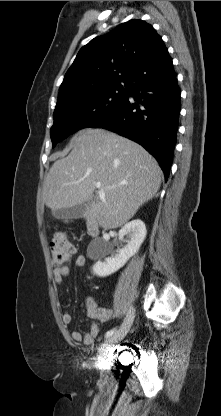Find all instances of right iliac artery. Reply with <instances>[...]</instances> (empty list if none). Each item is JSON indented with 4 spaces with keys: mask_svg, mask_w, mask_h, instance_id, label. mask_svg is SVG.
I'll return each mask as SVG.
<instances>
[{
    "mask_svg": "<svg viewBox=\"0 0 221 416\" xmlns=\"http://www.w3.org/2000/svg\"><path fill=\"white\" fill-rule=\"evenodd\" d=\"M117 330L116 329H112L106 332L105 337L108 338L110 336H112Z\"/></svg>",
    "mask_w": 221,
    "mask_h": 416,
    "instance_id": "1",
    "label": "right iliac artery"
}]
</instances>
